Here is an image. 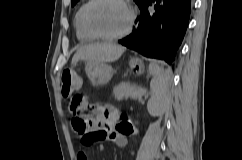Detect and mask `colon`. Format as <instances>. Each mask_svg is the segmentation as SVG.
<instances>
[{
    "label": "colon",
    "instance_id": "colon-1",
    "mask_svg": "<svg viewBox=\"0 0 242 160\" xmlns=\"http://www.w3.org/2000/svg\"><path fill=\"white\" fill-rule=\"evenodd\" d=\"M62 95L66 98H72L71 110L74 114L73 127L75 131L81 134L82 142L85 145H91L105 137V132L93 128V120L97 118L94 108L84 103L82 97L78 94L81 88V81L75 72L66 68L61 73ZM116 128L124 133L133 131L132 125L127 117L123 116L116 122Z\"/></svg>",
    "mask_w": 242,
    "mask_h": 160
}]
</instances>
